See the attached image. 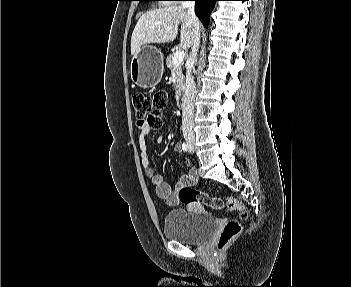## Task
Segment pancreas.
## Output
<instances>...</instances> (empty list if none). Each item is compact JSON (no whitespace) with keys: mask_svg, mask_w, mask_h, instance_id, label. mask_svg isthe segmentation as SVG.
<instances>
[{"mask_svg":"<svg viewBox=\"0 0 351 287\" xmlns=\"http://www.w3.org/2000/svg\"><path fill=\"white\" fill-rule=\"evenodd\" d=\"M173 54H170L167 59H166V65L167 67L175 74L176 78V94L178 95L181 90L183 89L184 85V75L182 73V64L175 66L173 65Z\"/></svg>","mask_w":351,"mask_h":287,"instance_id":"obj_1","label":"pancreas"}]
</instances>
